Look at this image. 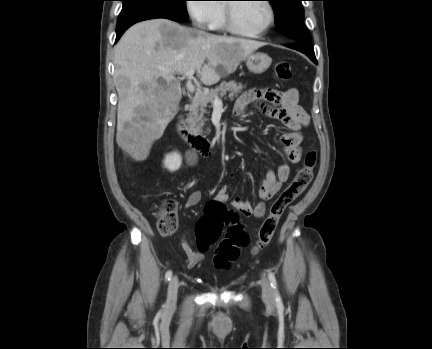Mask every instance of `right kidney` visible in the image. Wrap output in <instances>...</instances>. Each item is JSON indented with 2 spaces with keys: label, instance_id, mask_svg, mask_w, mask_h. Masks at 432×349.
<instances>
[{
  "label": "right kidney",
  "instance_id": "1",
  "mask_svg": "<svg viewBox=\"0 0 432 349\" xmlns=\"http://www.w3.org/2000/svg\"><path fill=\"white\" fill-rule=\"evenodd\" d=\"M182 157L177 152H172L165 156L163 164L169 171H177L181 167Z\"/></svg>",
  "mask_w": 432,
  "mask_h": 349
}]
</instances>
